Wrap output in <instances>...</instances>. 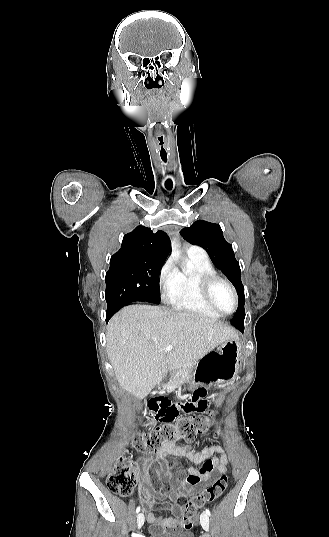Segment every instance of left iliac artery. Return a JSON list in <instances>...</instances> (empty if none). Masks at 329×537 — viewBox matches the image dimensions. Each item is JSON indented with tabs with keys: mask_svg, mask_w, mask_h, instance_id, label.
I'll return each mask as SVG.
<instances>
[{
	"mask_svg": "<svg viewBox=\"0 0 329 537\" xmlns=\"http://www.w3.org/2000/svg\"><path fill=\"white\" fill-rule=\"evenodd\" d=\"M205 512H206L207 515L211 516V512H210V510L208 508L205 509Z\"/></svg>",
	"mask_w": 329,
	"mask_h": 537,
	"instance_id": "44dca946",
	"label": "left iliac artery"
}]
</instances>
